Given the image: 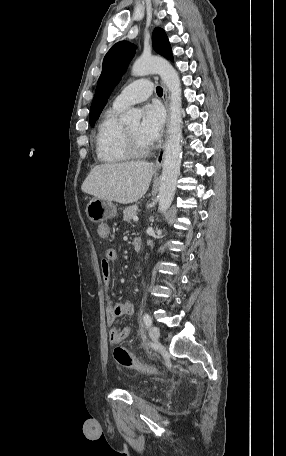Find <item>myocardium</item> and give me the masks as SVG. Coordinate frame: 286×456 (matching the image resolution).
<instances>
[{"instance_id":"obj_1","label":"myocardium","mask_w":286,"mask_h":456,"mask_svg":"<svg viewBox=\"0 0 286 456\" xmlns=\"http://www.w3.org/2000/svg\"><path fill=\"white\" fill-rule=\"evenodd\" d=\"M123 136H124V144H125V149L129 157L132 158H141L146 156L152 149V146L149 145L147 147H139L136 141L134 140L133 136L127 129V127H124L123 130Z\"/></svg>"}]
</instances>
